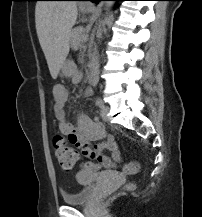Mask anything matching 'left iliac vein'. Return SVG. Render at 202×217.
Segmentation results:
<instances>
[{
    "mask_svg": "<svg viewBox=\"0 0 202 217\" xmlns=\"http://www.w3.org/2000/svg\"><path fill=\"white\" fill-rule=\"evenodd\" d=\"M108 112H109V107L103 105V106L101 107V110H100V115H101V117H102V119H103L104 121H107V120H108V117H107Z\"/></svg>",
    "mask_w": 202,
    "mask_h": 217,
    "instance_id": "1",
    "label": "left iliac vein"
}]
</instances>
